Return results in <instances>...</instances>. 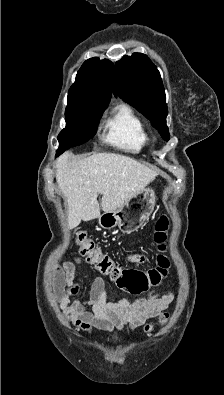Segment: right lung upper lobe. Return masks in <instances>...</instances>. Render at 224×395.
<instances>
[{"mask_svg": "<svg viewBox=\"0 0 224 395\" xmlns=\"http://www.w3.org/2000/svg\"><path fill=\"white\" fill-rule=\"evenodd\" d=\"M113 64L97 57L86 60L77 73L69 94L84 96L108 105L112 94Z\"/></svg>", "mask_w": 224, "mask_h": 395, "instance_id": "obj_1", "label": "right lung upper lobe"}]
</instances>
